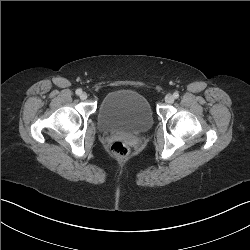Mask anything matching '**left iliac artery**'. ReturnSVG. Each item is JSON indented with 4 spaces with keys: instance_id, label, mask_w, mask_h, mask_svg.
<instances>
[{
    "instance_id": "1",
    "label": "left iliac artery",
    "mask_w": 250,
    "mask_h": 250,
    "mask_svg": "<svg viewBox=\"0 0 250 250\" xmlns=\"http://www.w3.org/2000/svg\"><path fill=\"white\" fill-rule=\"evenodd\" d=\"M173 96H174V98L177 99L179 97V93L178 92H174Z\"/></svg>"
}]
</instances>
